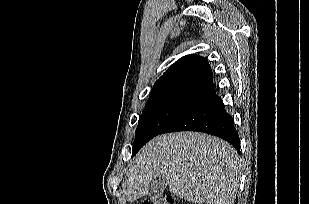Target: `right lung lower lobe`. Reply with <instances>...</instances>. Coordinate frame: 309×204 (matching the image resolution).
<instances>
[{"mask_svg":"<svg viewBox=\"0 0 309 204\" xmlns=\"http://www.w3.org/2000/svg\"><path fill=\"white\" fill-rule=\"evenodd\" d=\"M177 131H198L217 136L229 142L240 152V140L233 118L224 109L219 96L208 99L180 116L160 134Z\"/></svg>","mask_w":309,"mask_h":204,"instance_id":"98d812e1","label":"right lung lower lobe"}]
</instances>
